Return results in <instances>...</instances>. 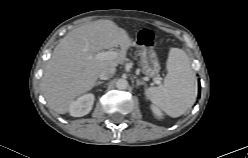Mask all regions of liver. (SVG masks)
<instances>
[{
  "label": "liver",
  "mask_w": 248,
  "mask_h": 158,
  "mask_svg": "<svg viewBox=\"0 0 248 158\" xmlns=\"http://www.w3.org/2000/svg\"><path fill=\"white\" fill-rule=\"evenodd\" d=\"M127 32L111 20H97L70 31L55 47L41 78V88L48 106L59 114L69 111L70 104L90 91L106 67H116L132 46ZM120 47L117 57L100 60L103 49Z\"/></svg>",
  "instance_id": "liver-1"
}]
</instances>
